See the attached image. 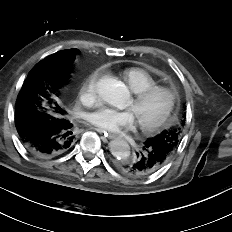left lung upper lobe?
<instances>
[{
  "label": "left lung upper lobe",
  "mask_w": 232,
  "mask_h": 232,
  "mask_svg": "<svg viewBox=\"0 0 232 232\" xmlns=\"http://www.w3.org/2000/svg\"><path fill=\"white\" fill-rule=\"evenodd\" d=\"M180 133V127L175 126L148 140L164 146L172 155L179 145Z\"/></svg>",
  "instance_id": "obj_1"
}]
</instances>
